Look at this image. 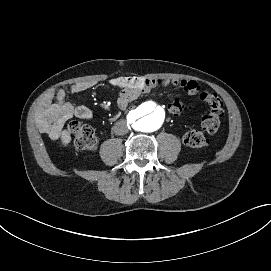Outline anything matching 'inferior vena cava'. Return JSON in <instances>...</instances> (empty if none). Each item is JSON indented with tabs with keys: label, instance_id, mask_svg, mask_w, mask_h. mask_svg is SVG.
<instances>
[{
	"label": "inferior vena cava",
	"instance_id": "inferior-vena-cava-1",
	"mask_svg": "<svg viewBox=\"0 0 271 271\" xmlns=\"http://www.w3.org/2000/svg\"><path fill=\"white\" fill-rule=\"evenodd\" d=\"M112 129L116 135H125L128 133V126L124 120L116 122Z\"/></svg>",
	"mask_w": 271,
	"mask_h": 271
}]
</instances>
